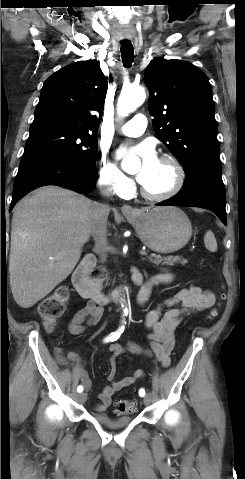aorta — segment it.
<instances>
[{"mask_svg":"<svg viewBox=\"0 0 245 479\" xmlns=\"http://www.w3.org/2000/svg\"><path fill=\"white\" fill-rule=\"evenodd\" d=\"M146 94L142 87L130 86L123 88L118 99L117 110L119 115L127 116L135 111L145 101ZM140 168L138 158L127 157L122 162V169L127 173H135ZM126 312V310H125Z\"/></svg>","mask_w":245,"mask_h":479,"instance_id":"1","label":"aorta"}]
</instances>
